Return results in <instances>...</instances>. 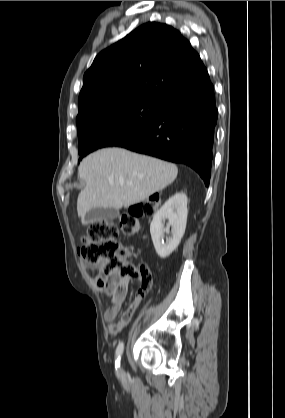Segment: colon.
<instances>
[{"label":"colon","mask_w":285,"mask_h":418,"mask_svg":"<svg viewBox=\"0 0 285 418\" xmlns=\"http://www.w3.org/2000/svg\"><path fill=\"white\" fill-rule=\"evenodd\" d=\"M155 209L156 202L151 199L131 206L128 213L120 216V230L127 236L137 234L140 229L139 219L152 216ZM118 231L119 229L112 223L90 224L79 249L80 257L86 264L99 265L103 260L108 259L102 266L100 275L95 279L97 287L102 289L106 288L107 281L115 273L123 278L139 276L136 266L120 256L121 244L118 240ZM146 292V289H141L136 295V300L140 302Z\"/></svg>","instance_id":"1"}]
</instances>
